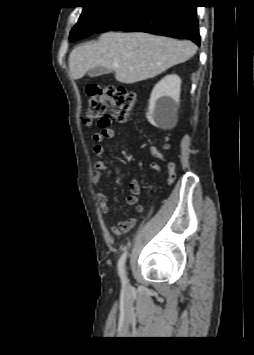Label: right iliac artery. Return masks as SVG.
<instances>
[{"mask_svg": "<svg viewBox=\"0 0 254 355\" xmlns=\"http://www.w3.org/2000/svg\"><path fill=\"white\" fill-rule=\"evenodd\" d=\"M126 256H127V251H125L122 256L119 259L118 262V272L120 275V278L122 280L123 284H126V277H125V260H126Z\"/></svg>", "mask_w": 254, "mask_h": 355, "instance_id": "82829eb1", "label": "right iliac artery"}]
</instances>
